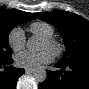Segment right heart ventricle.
I'll return each instance as SVG.
<instances>
[{
  "label": "right heart ventricle",
  "instance_id": "e07e8e85",
  "mask_svg": "<svg viewBox=\"0 0 89 89\" xmlns=\"http://www.w3.org/2000/svg\"><path fill=\"white\" fill-rule=\"evenodd\" d=\"M30 30L33 34L42 38H52L54 35L53 27L46 22H34L31 24Z\"/></svg>",
  "mask_w": 89,
  "mask_h": 89
}]
</instances>
